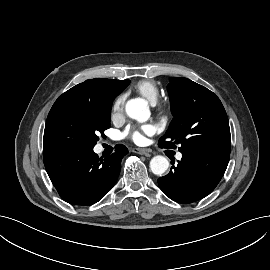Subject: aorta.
<instances>
[{
  "mask_svg": "<svg viewBox=\"0 0 270 270\" xmlns=\"http://www.w3.org/2000/svg\"><path fill=\"white\" fill-rule=\"evenodd\" d=\"M126 113L139 122H145L150 117L147 101L141 98L131 99L126 104ZM169 167V161L161 155L154 156L150 161V169L155 175H162Z\"/></svg>",
  "mask_w": 270,
  "mask_h": 270,
  "instance_id": "obj_1",
  "label": "aorta"
}]
</instances>
